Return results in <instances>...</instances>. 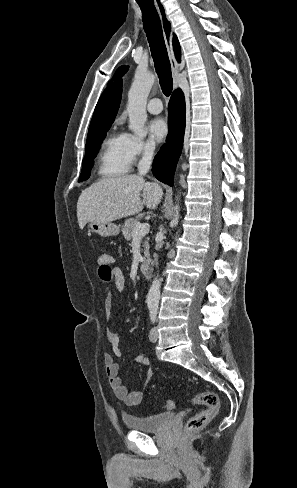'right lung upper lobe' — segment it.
<instances>
[{"instance_id": "obj_1", "label": "right lung upper lobe", "mask_w": 297, "mask_h": 488, "mask_svg": "<svg viewBox=\"0 0 297 488\" xmlns=\"http://www.w3.org/2000/svg\"><path fill=\"white\" fill-rule=\"evenodd\" d=\"M173 48L176 59L180 61V46L177 37H173ZM122 93V80H117L114 84L110 85L101 95L90 123L89 132L94 128L113 123L117 114ZM88 132V133H89Z\"/></svg>"}]
</instances>
